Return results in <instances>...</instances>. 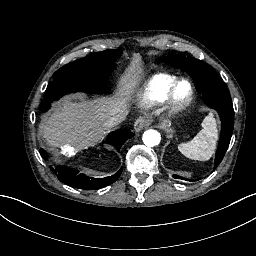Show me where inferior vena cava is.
<instances>
[{"label":"inferior vena cava","mask_w":256,"mask_h":256,"mask_svg":"<svg viewBox=\"0 0 256 256\" xmlns=\"http://www.w3.org/2000/svg\"><path fill=\"white\" fill-rule=\"evenodd\" d=\"M127 114H128V112L125 111V112H121V113H119L115 116L110 117L107 120L106 126L108 128H111V127H114L116 125H119L120 123H122L126 119Z\"/></svg>","instance_id":"obj_1"}]
</instances>
